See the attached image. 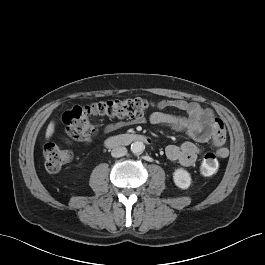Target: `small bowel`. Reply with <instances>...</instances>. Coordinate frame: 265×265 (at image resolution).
I'll use <instances>...</instances> for the list:
<instances>
[{
    "label": "small bowel",
    "mask_w": 265,
    "mask_h": 265,
    "mask_svg": "<svg viewBox=\"0 0 265 265\" xmlns=\"http://www.w3.org/2000/svg\"><path fill=\"white\" fill-rule=\"evenodd\" d=\"M168 108L183 111L186 116L165 113L164 110ZM142 121V119L138 120V122ZM149 121L154 125L168 126L177 131L185 132L195 142L212 143L220 158L228 156V149L223 145L225 139L223 123L210 110L204 109L196 102L182 99L160 100L156 104L155 111L150 115ZM124 125V122L110 123L105 126L104 133L114 132ZM199 152V147L191 141L166 147L167 158L171 161H177L183 166L193 165Z\"/></svg>",
    "instance_id": "1"
}]
</instances>
